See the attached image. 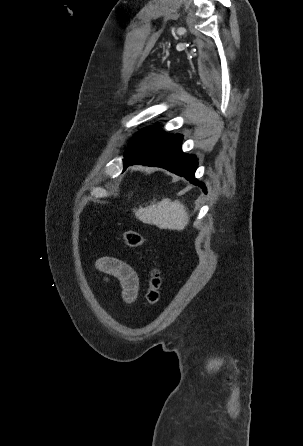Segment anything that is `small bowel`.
I'll return each mask as SVG.
<instances>
[{"label":"small bowel","instance_id":"obj_1","mask_svg":"<svg viewBox=\"0 0 303 446\" xmlns=\"http://www.w3.org/2000/svg\"><path fill=\"white\" fill-rule=\"evenodd\" d=\"M97 269L116 278L122 288V296L126 302H132L137 296L139 279L135 270L124 261L114 257H101L96 262Z\"/></svg>","mask_w":303,"mask_h":446}]
</instances>
